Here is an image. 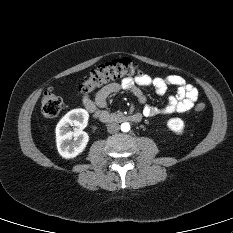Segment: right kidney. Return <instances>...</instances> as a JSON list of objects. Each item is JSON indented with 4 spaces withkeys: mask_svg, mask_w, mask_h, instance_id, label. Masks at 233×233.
I'll return each mask as SVG.
<instances>
[{
    "mask_svg": "<svg viewBox=\"0 0 233 233\" xmlns=\"http://www.w3.org/2000/svg\"><path fill=\"white\" fill-rule=\"evenodd\" d=\"M88 119V112L78 108L65 114L57 124L56 144L63 158H74L86 148L89 136L83 129L87 126ZM70 126L74 127V131H69Z\"/></svg>",
    "mask_w": 233,
    "mask_h": 233,
    "instance_id": "1",
    "label": "right kidney"
}]
</instances>
